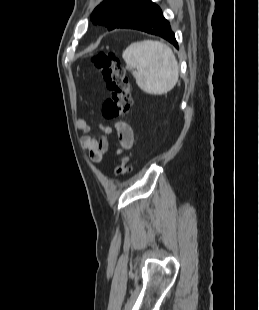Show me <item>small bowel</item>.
<instances>
[{
	"label": "small bowel",
	"instance_id": "1",
	"mask_svg": "<svg viewBox=\"0 0 259 310\" xmlns=\"http://www.w3.org/2000/svg\"><path fill=\"white\" fill-rule=\"evenodd\" d=\"M76 128L82 132H89L90 126L84 119L76 121ZM121 150H128L134 144V132L131 126L125 122L116 125ZM102 135L99 138L90 135L81 137V146L88 152L89 157L94 162H100L108 149L107 136L112 133V128L101 126Z\"/></svg>",
	"mask_w": 259,
	"mask_h": 310
}]
</instances>
